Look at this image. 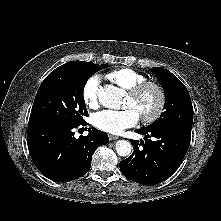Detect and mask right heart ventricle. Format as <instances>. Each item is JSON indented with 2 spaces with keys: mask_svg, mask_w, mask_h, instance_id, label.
Segmentation results:
<instances>
[{
  "mask_svg": "<svg viewBox=\"0 0 221 221\" xmlns=\"http://www.w3.org/2000/svg\"><path fill=\"white\" fill-rule=\"evenodd\" d=\"M106 78L125 90H130L147 80L144 74L126 67L109 72Z\"/></svg>",
  "mask_w": 221,
  "mask_h": 221,
  "instance_id": "1",
  "label": "right heart ventricle"
}]
</instances>
